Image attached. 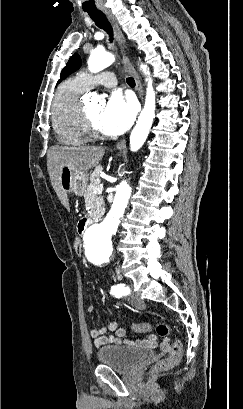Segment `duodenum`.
Returning <instances> with one entry per match:
<instances>
[{"instance_id":"1","label":"duodenum","mask_w":243,"mask_h":409,"mask_svg":"<svg viewBox=\"0 0 243 409\" xmlns=\"http://www.w3.org/2000/svg\"><path fill=\"white\" fill-rule=\"evenodd\" d=\"M92 221L90 219H83L79 222L78 228L80 232H84Z\"/></svg>"}]
</instances>
